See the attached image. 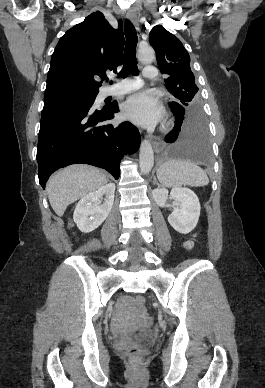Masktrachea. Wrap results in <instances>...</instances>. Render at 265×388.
<instances>
[{"mask_svg":"<svg viewBox=\"0 0 265 388\" xmlns=\"http://www.w3.org/2000/svg\"><path fill=\"white\" fill-rule=\"evenodd\" d=\"M124 31L126 35V46L124 50V65L119 77L124 78L129 73L133 75H138L139 70L137 68V59H136V46H137V32L133 23L130 20H125ZM112 83V82H111Z\"/></svg>","mask_w":265,"mask_h":388,"instance_id":"1","label":"trachea"}]
</instances>
